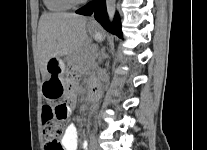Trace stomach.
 I'll return each mask as SVG.
<instances>
[{
	"mask_svg": "<svg viewBox=\"0 0 207 150\" xmlns=\"http://www.w3.org/2000/svg\"><path fill=\"white\" fill-rule=\"evenodd\" d=\"M88 32L94 39H101V32L98 28L89 25ZM64 70V61L59 57H53L48 61V73L42 83V91L46 99L63 98L72 92V86L63 79Z\"/></svg>",
	"mask_w": 207,
	"mask_h": 150,
	"instance_id": "stomach-1",
	"label": "stomach"
}]
</instances>
